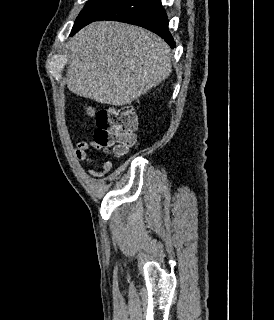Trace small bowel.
Masks as SVG:
<instances>
[{
  "instance_id": "small-bowel-1",
  "label": "small bowel",
  "mask_w": 274,
  "mask_h": 320,
  "mask_svg": "<svg viewBox=\"0 0 274 320\" xmlns=\"http://www.w3.org/2000/svg\"><path fill=\"white\" fill-rule=\"evenodd\" d=\"M98 146H99L98 140H90L89 142L88 141H81L77 144V148L75 150V157L77 158V160L84 161V162H87L89 164H92L94 166H98L101 168V171H99V172L95 171L94 169H87L88 174L91 175L92 177H95V178L105 176L112 169L111 162L104 161L101 163H97L94 159L89 157L88 151H90ZM100 151H102L103 153H111L112 148H111V146H103L102 148H100Z\"/></svg>"
}]
</instances>
